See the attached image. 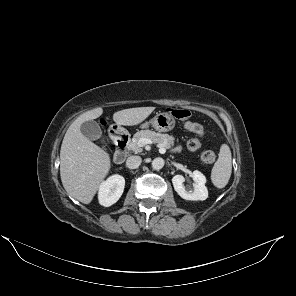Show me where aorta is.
<instances>
[{
    "mask_svg": "<svg viewBox=\"0 0 296 296\" xmlns=\"http://www.w3.org/2000/svg\"><path fill=\"white\" fill-rule=\"evenodd\" d=\"M164 163L165 162L163 158L157 157L152 161V168L155 170H160L163 168Z\"/></svg>",
    "mask_w": 296,
    "mask_h": 296,
    "instance_id": "1",
    "label": "aorta"
}]
</instances>
